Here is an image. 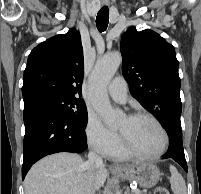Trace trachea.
<instances>
[{
	"mask_svg": "<svg viewBox=\"0 0 201 194\" xmlns=\"http://www.w3.org/2000/svg\"><path fill=\"white\" fill-rule=\"evenodd\" d=\"M109 21V11L107 6H103L96 17V27L100 32L106 31Z\"/></svg>",
	"mask_w": 201,
	"mask_h": 194,
	"instance_id": "obj_1",
	"label": "trachea"
}]
</instances>
